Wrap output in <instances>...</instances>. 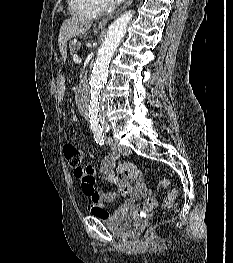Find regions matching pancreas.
<instances>
[{
    "instance_id": "pancreas-1",
    "label": "pancreas",
    "mask_w": 233,
    "mask_h": 263,
    "mask_svg": "<svg viewBox=\"0 0 233 263\" xmlns=\"http://www.w3.org/2000/svg\"><path fill=\"white\" fill-rule=\"evenodd\" d=\"M81 47V43L80 42H74L72 41L70 44H69V48H70V51L72 53H74L76 50L80 49Z\"/></svg>"
}]
</instances>
